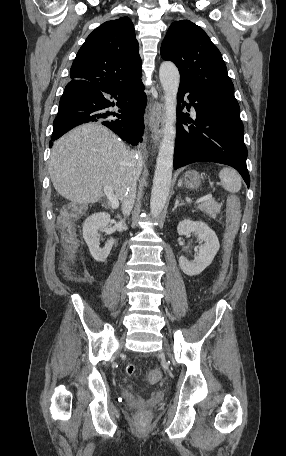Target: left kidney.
<instances>
[{"label": "left kidney", "instance_id": "1", "mask_svg": "<svg viewBox=\"0 0 286 456\" xmlns=\"http://www.w3.org/2000/svg\"><path fill=\"white\" fill-rule=\"evenodd\" d=\"M177 232L179 235L193 233L200 241L204 242V244L199 246V253L193 261H189L184 256L179 258V266L185 274L189 276L200 274L212 263L220 248L217 235L204 222L191 221L189 219H185L178 224Z\"/></svg>", "mask_w": 286, "mask_h": 456}]
</instances>
